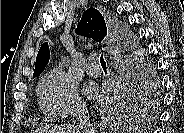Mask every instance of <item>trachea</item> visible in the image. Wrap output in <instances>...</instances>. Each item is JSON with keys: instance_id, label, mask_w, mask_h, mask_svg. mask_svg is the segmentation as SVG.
Masks as SVG:
<instances>
[{"instance_id": "1", "label": "trachea", "mask_w": 184, "mask_h": 133, "mask_svg": "<svg viewBox=\"0 0 184 133\" xmlns=\"http://www.w3.org/2000/svg\"><path fill=\"white\" fill-rule=\"evenodd\" d=\"M100 64H101V66H102L103 68H106V61H105L103 55H101V57H100Z\"/></svg>"}]
</instances>
